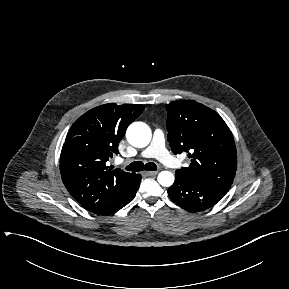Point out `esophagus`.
I'll list each match as a JSON object with an SVG mask.
<instances>
[{"label": "esophagus", "instance_id": "1", "mask_svg": "<svg viewBox=\"0 0 289 289\" xmlns=\"http://www.w3.org/2000/svg\"><path fill=\"white\" fill-rule=\"evenodd\" d=\"M144 173L147 176H155L158 173V171H145Z\"/></svg>", "mask_w": 289, "mask_h": 289}]
</instances>
